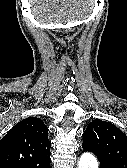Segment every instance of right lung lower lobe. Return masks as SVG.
<instances>
[{
    "mask_svg": "<svg viewBox=\"0 0 127 168\" xmlns=\"http://www.w3.org/2000/svg\"><path fill=\"white\" fill-rule=\"evenodd\" d=\"M50 161L44 166H28V165H18V166H9L7 168H49Z\"/></svg>",
    "mask_w": 127,
    "mask_h": 168,
    "instance_id": "98d812e1",
    "label": "right lung lower lobe"
}]
</instances>
